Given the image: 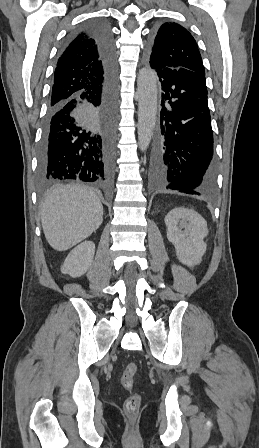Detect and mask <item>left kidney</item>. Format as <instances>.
<instances>
[{
	"label": "left kidney",
	"instance_id": "1",
	"mask_svg": "<svg viewBox=\"0 0 259 448\" xmlns=\"http://www.w3.org/2000/svg\"><path fill=\"white\" fill-rule=\"evenodd\" d=\"M167 238L175 246L176 256L185 266H198L206 252L203 242L208 234L207 222L189 208H173L165 216ZM182 228H185L182 232Z\"/></svg>",
	"mask_w": 259,
	"mask_h": 448
}]
</instances>
